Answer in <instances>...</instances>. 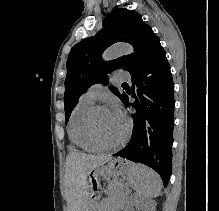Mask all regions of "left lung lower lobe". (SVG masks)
I'll return each mask as SVG.
<instances>
[{
    "label": "left lung lower lobe",
    "instance_id": "1",
    "mask_svg": "<svg viewBox=\"0 0 219 211\" xmlns=\"http://www.w3.org/2000/svg\"><path fill=\"white\" fill-rule=\"evenodd\" d=\"M129 96L121 99L132 114L134 126L126 147L114 154L153 168L167 186L172 173L174 127V84L166 53L161 50L142 68L131 74ZM135 99L133 103L129 98Z\"/></svg>",
    "mask_w": 219,
    "mask_h": 211
}]
</instances>
